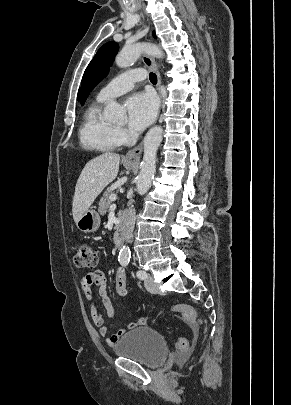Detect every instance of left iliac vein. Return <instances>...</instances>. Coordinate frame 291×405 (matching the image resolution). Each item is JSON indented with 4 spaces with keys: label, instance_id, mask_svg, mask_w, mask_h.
I'll return each instance as SVG.
<instances>
[{
    "label": "left iliac vein",
    "instance_id": "left-iliac-vein-1",
    "mask_svg": "<svg viewBox=\"0 0 291 405\" xmlns=\"http://www.w3.org/2000/svg\"><path fill=\"white\" fill-rule=\"evenodd\" d=\"M144 285L145 288L150 292V293H157L158 292V288L156 286V284L154 283L153 278L150 275H147V277L144 280Z\"/></svg>",
    "mask_w": 291,
    "mask_h": 405
}]
</instances>
